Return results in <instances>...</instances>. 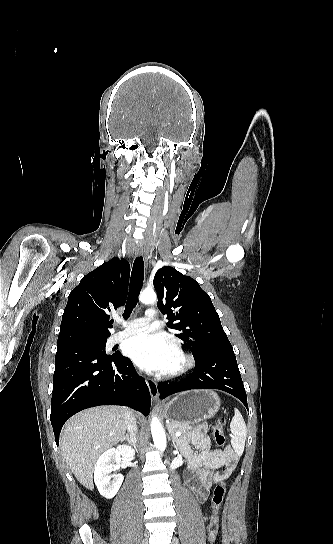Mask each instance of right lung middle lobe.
Masks as SVG:
<instances>
[{
	"mask_svg": "<svg viewBox=\"0 0 333 544\" xmlns=\"http://www.w3.org/2000/svg\"><path fill=\"white\" fill-rule=\"evenodd\" d=\"M93 344H95L97 347V349L103 353V356L104 357H110L112 355H106L105 354V347H106V340H96V341H92Z\"/></svg>",
	"mask_w": 333,
	"mask_h": 544,
	"instance_id": "1",
	"label": "right lung middle lobe"
}]
</instances>
